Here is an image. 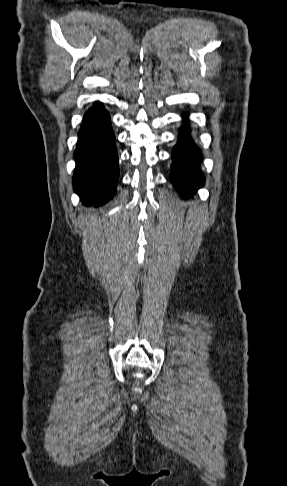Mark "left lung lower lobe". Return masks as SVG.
<instances>
[{"mask_svg": "<svg viewBox=\"0 0 287 486\" xmlns=\"http://www.w3.org/2000/svg\"><path fill=\"white\" fill-rule=\"evenodd\" d=\"M186 118L187 115H184ZM173 164L170 179L182 196H189L203 186L204 176L199 163L202 154L190 138V128L187 124L180 129L178 143L172 152Z\"/></svg>", "mask_w": 287, "mask_h": 486, "instance_id": "0a47b994", "label": "left lung lower lobe"}]
</instances>
